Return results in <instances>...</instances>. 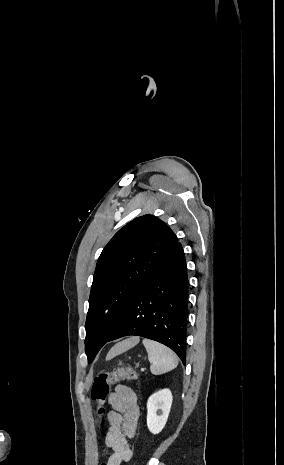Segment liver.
<instances>
[{
	"label": "liver",
	"mask_w": 284,
	"mask_h": 465,
	"mask_svg": "<svg viewBox=\"0 0 284 465\" xmlns=\"http://www.w3.org/2000/svg\"><path fill=\"white\" fill-rule=\"evenodd\" d=\"M137 343H139V337H130V339H125V341L117 343V345H114V347L110 349L106 357V361H110V359H114V357H117V355L125 353V351H128V349H132V347H135Z\"/></svg>",
	"instance_id": "obj_1"
}]
</instances>
